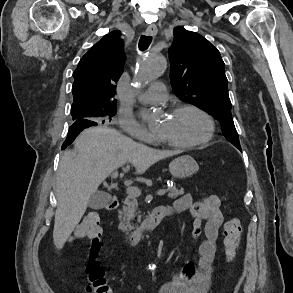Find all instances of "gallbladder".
<instances>
[{
  "label": "gallbladder",
  "instance_id": "gallbladder-1",
  "mask_svg": "<svg viewBox=\"0 0 293 293\" xmlns=\"http://www.w3.org/2000/svg\"><path fill=\"white\" fill-rule=\"evenodd\" d=\"M109 201H110L109 194L102 192V191H98L90 197V199L88 201V206L91 209L99 210V209L104 208Z\"/></svg>",
  "mask_w": 293,
  "mask_h": 293
}]
</instances>
